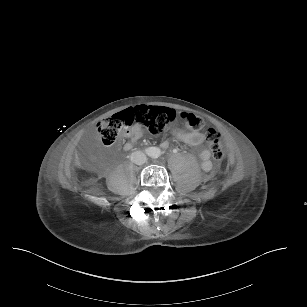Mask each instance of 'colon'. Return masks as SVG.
<instances>
[{
  "mask_svg": "<svg viewBox=\"0 0 307 307\" xmlns=\"http://www.w3.org/2000/svg\"><path fill=\"white\" fill-rule=\"evenodd\" d=\"M177 118L193 130H201L205 126L201 117L188 111L177 112L166 107L143 105L101 119L97 124V136L104 146H112L124 127L134 122L146 127L149 133L159 135L163 133L167 124L174 122ZM205 139L213 158L221 160L224 156L221 133L208 128L205 131Z\"/></svg>",
  "mask_w": 307,
  "mask_h": 307,
  "instance_id": "obj_1",
  "label": "colon"
}]
</instances>
